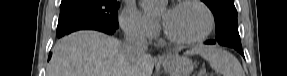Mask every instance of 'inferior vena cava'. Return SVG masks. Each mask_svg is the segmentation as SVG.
Masks as SVG:
<instances>
[{"mask_svg":"<svg viewBox=\"0 0 287 76\" xmlns=\"http://www.w3.org/2000/svg\"><path fill=\"white\" fill-rule=\"evenodd\" d=\"M125 40L122 45L123 54L128 61H135L145 57L148 42L144 31L136 23L128 24L124 27Z\"/></svg>","mask_w":287,"mask_h":76,"instance_id":"inferior-vena-cava-1","label":"inferior vena cava"}]
</instances>
